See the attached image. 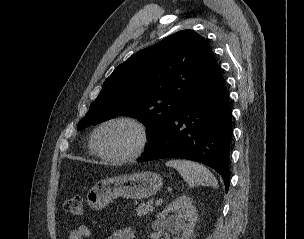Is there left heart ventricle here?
<instances>
[{
  "label": "left heart ventricle",
  "mask_w": 304,
  "mask_h": 239,
  "mask_svg": "<svg viewBox=\"0 0 304 239\" xmlns=\"http://www.w3.org/2000/svg\"><path fill=\"white\" fill-rule=\"evenodd\" d=\"M137 139L138 135L134 127L124 123H116L100 130L97 144L104 153L119 155L133 149Z\"/></svg>",
  "instance_id": "left-heart-ventricle-1"
}]
</instances>
